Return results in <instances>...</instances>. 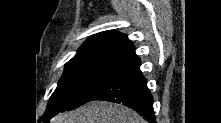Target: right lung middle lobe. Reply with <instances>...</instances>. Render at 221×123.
Here are the masks:
<instances>
[{"label":"right lung middle lobe","mask_w":221,"mask_h":123,"mask_svg":"<svg viewBox=\"0 0 221 123\" xmlns=\"http://www.w3.org/2000/svg\"><path fill=\"white\" fill-rule=\"evenodd\" d=\"M130 59L128 56L109 51L77 52L66 63L45 113L72 110L88 102L93 90Z\"/></svg>","instance_id":"right-lung-middle-lobe-1"}]
</instances>
